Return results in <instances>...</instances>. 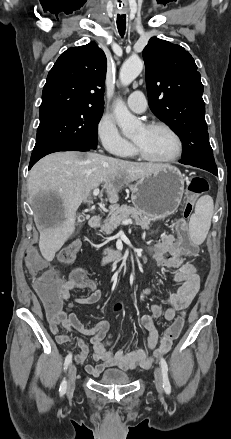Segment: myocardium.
Masks as SVG:
<instances>
[{"mask_svg": "<svg viewBox=\"0 0 231 439\" xmlns=\"http://www.w3.org/2000/svg\"><path fill=\"white\" fill-rule=\"evenodd\" d=\"M143 127L145 129H148V130H152V129L166 130L168 133H170V135L175 140L176 150L173 153V155H171L170 157L158 159V158H153V157L149 156L135 142H132L133 151L138 157H140L141 159H143L145 161L152 162V163L168 164V163H172V162L176 161L182 155L183 141H182L180 135L177 133V131L174 128H172L170 125H168L164 122H151V123L145 124Z\"/></svg>", "mask_w": 231, "mask_h": 439, "instance_id": "f54148a6", "label": "myocardium"}]
</instances>
